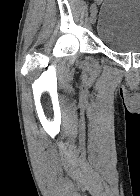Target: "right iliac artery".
I'll use <instances>...</instances> for the list:
<instances>
[{
    "mask_svg": "<svg viewBox=\"0 0 140 196\" xmlns=\"http://www.w3.org/2000/svg\"><path fill=\"white\" fill-rule=\"evenodd\" d=\"M90 9H91V11L94 10L95 9V5L93 4Z\"/></svg>",
    "mask_w": 140,
    "mask_h": 196,
    "instance_id": "82829eb1",
    "label": "right iliac artery"
}]
</instances>
